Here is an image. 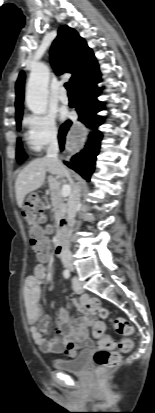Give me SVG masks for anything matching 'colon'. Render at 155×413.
Segmentation results:
<instances>
[{
  "instance_id": "5ec220e1",
  "label": "colon",
  "mask_w": 155,
  "mask_h": 413,
  "mask_svg": "<svg viewBox=\"0 0 155 413\" xmlns=\"http://www.w3.org/2000/svg\"><path fill=\"white\" fill-rule=\"evenodd\" d=\"M42 195L40 192H31L25 199V206L22 215L29 225V235L31 246L37 254L38 259H44L50 250V241L42 226L44 221L43 206L40 201ZM88 307L93 315L98 319H108L109 314L98 298H91L88 301ZM101 321V320H100ZM113 325L115 330L125 337L118 344L119 351L111 350V341L104 335L100 328L97 329L99 337V349L94 354V362L101 373L114 369L121 360V353L129 352L132 348V340L129 336L133 333L132 325L122 317L114 318Z\"/></svg>"
}]
</instances>
